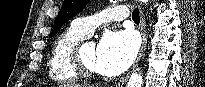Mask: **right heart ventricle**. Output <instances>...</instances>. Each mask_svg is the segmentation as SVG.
Wrapping results in <instances>:
<instances>
[{"label": "right heart ventricle", "instance_id": "right-heart-ventricle-1", "mask_svg": "<svg viewBox=\"0 0 205 87\" xmlns=\"http://www.w3.org/2000/svg\"><path fill=\"white\" fill-rule=\"evenodd\" d=\"M85 37L72 27L55 40L49 58V76L57 84H72L79 80L70 60L73 48Z\"/></svg>", "mask_w": 205, "mask_h": 87}]
</instances>
